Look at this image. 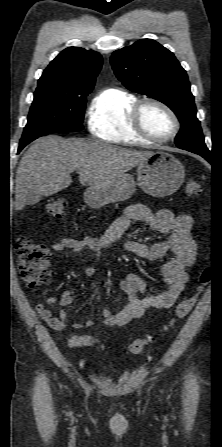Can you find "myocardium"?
<instances>
[{
  "label": "myocardium",
  "instance_id": "myocardium-1",
  "mask_svg": "<svg viewBox=\"0 0 222 447\" xmlns=\"http://www.w3.org/2000/svg\"><path fill=\"white\" fill-rule=\"evenodd\" d=\"M149 104L155 105V106L161 108L171 118L172 123H173V131L167 137H164V138L155 137L145 129V127L142 123V111H143L144 107ZM130 118H131L132 126L136 130V132L138 134H140L142 137H144L145 139H147L151 142H154V143H165V142L170 141L178 134V131L180 128V123H179L178 117L175 114V112L166 103H164L163 101L158 100L156 98L147 97V98L138 100L135 103V105L131 111Z\"/></svg>",
  "mask_w": 222,
  "mask_h": 447
}]
</instances>
